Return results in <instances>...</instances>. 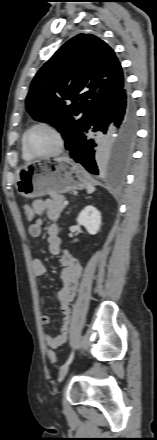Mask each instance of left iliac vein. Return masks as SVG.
Wrapping results in <instances>:
<instances>
[{"instance_id": "1", "label": "left iliac vein", "mask_w": 157, "mask_h": 440, "mask_svg": "<svg viewBox=\"0 0 157 440\" xmlns=\"http://www.w3.org/2000/svg\"><path fill=\"white\" fill-rule=\"evenodd\" d=\"M68 369H69V365H63L62 367H61V369H60V372H59V378H58V380L61 382L63 379H64V377L66 376V374H67V372H68Z\"/></svg>"}]
</instances>
